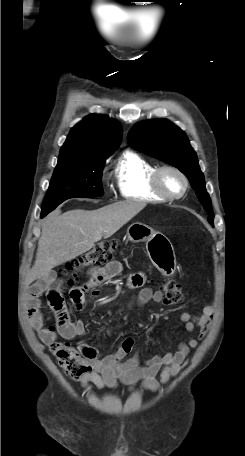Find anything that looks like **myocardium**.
<instances>
[{
    "instance_id": "1",
    "label": "myocardium",
    "mask_w": 245,
    "mask_h": 456,
    "mask_svg": "<svg viewBox=\"0 0 245 456\" xmlns=\"http://www.w3.org/2000/svg\"><path fill=\"white\" fill-rule=\"evenodd\" d=\"M164 171H172V172L176 173L182 179V181L184 183V187H183V190L181 193L173 195L163 189L161 182H160V177ZM149 182H150V187L155 194H157L158 196L162 197L165 200H171V201L182 198L186 194V192L189 188V180H188L187 176L179 168L172 166V165H163V166L156 167L150 175Z\"/></svg>"
}]
</instances>
